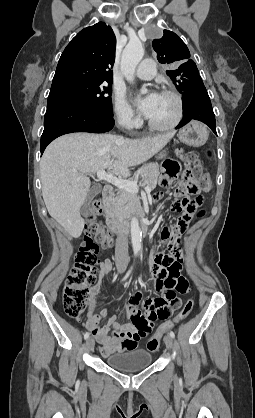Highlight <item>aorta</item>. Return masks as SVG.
I'll return each instance as SVG.
<instances>
[{"label":"aorta","mask_w":255,"mask_h":418,"mask_svg":"<svg viewBox=\"0 0 255 418\" xmlns=\"http://www.w3.org/2000/svg\"><path fill=\"white\" fill-rule=\"evenodd\" d=\"M144 48L140 41H130L123 50L121 57V71L129 82L134 81V73L137 65L142 60ZM147 89L143 87L142 93H147ZM131 242L134 254H138L142 249V232L138 219L133 217L130 224Z\"/></svg>","instance_id":"obj_1"}]
</instances>
